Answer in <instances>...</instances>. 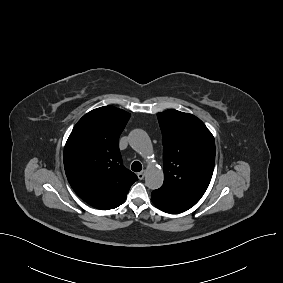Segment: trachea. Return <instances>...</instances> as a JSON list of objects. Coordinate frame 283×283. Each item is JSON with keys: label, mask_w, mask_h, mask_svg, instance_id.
<instances>
[{"label": "trachea", "mask_w": 283, "mask_h": 283, "mask_svg": "<svg viewBox=\"0 0 283 283\" xmlns=\"http://www.w3.org/2000/svg\"><path fill=\"white\" fill-rule=\"evenodd\" d=\"M131 169L134 172H139L142 170V164L139 161H134L131 165Z\"/></svg>", "instance_id": "1"}]
</instances>
